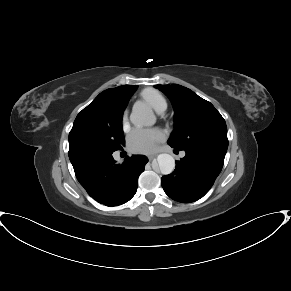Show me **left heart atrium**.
Returning a JSON list of instances; mask_svg holds the SVG:
<instances>
[{
  "label": "left heart atrium",
  "instance_id": "1",
  "mask_svg": "<svg viewBox=\"0 0 291 291\" xmlns=\"http://www.w3.org/2000/svg\"><path fill=\"white\" fill-rule=\"evenodd\" d=\"M164 138V133L157 128H135L128 136L127 146L131 152L148 154L153 152Z\"/></svg>",
  "mask_w": 291,
  "mask_h": 291
}]
</instances>
